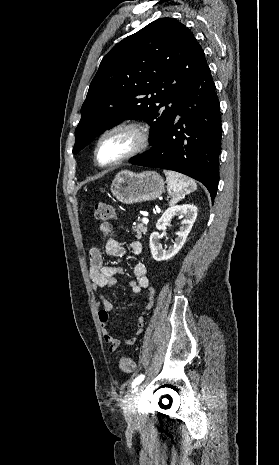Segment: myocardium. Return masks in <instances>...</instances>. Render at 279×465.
Returning <instances> with one entry per match:
<instances>
[{
	"label": "myocardium",
	"mask_w": 279,
	"mask_h": 465,
	"mask_svg": "<svg viewBox=\"0 0 279 465\" xmlns=\"http://www.w3.org/2000/svg\"><path fill=\"white\" fill-rule=\"evenodd\" d=\"M119 130H130L137 135V143L135 147L131 151H129L128 153H126L125 155H123L122 157L114 161H111L108 163L101 162L99 159V148H100L102 141L111 133H114ZM151 138H152L151 130L149 126L143 122L129 121V122H122V123L116 124L106 129L98 138L96 145H95V149H94L95 161L99 166H102V167H110V166L118 165L142 153L143 151H145L151 143Z\"/></svg>",
	"instance_id": "obj_1"
}]
</instances>
